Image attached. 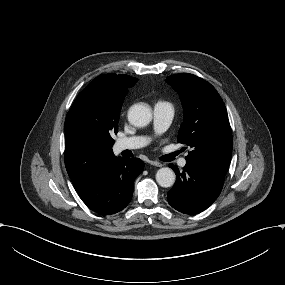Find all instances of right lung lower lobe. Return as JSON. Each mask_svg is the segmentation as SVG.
I'll use <instances>...</instances> for the list:
<instances>
[{
    "label": "right lung lower lobe",
    "instance_id": "right-lung-lower-lobe-1",
    "mask_svg": "<svg viewBox=\"0 0 285 285\" xmlns=\"http://www.w3.org/2000/svg\"><path fill=\"white\" fill-rule=\"evenodd\" d=\"M144 163L138 158L118 157L77 191L94 212L111 215L123 210L133 195V184Z\"/></svg>",
    "mask_w": 285,
    "mask_h": 285
}]
</instances>
